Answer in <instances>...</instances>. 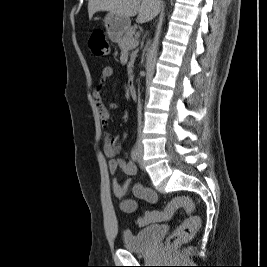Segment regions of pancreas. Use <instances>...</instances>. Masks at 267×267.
Wrapping results in <instances>:
<instances>
[{
	"mask_svg": "<svg viewBox=\"0 0 267 267\" xmlns=\"http://www.w3.org/2000/svg\"><path fill=\"white\" fill-rule=\"evenodd\" d=\"M135 31L136 29L134 27H129L127 29L125 35L119 42V47L121 50H124V49L132 50L138 45V42L133 37L135 35ZM134 56H135V53H132V59H134ZM132 64H133V60L128 65L129 71H131Z\"/></svg>",
	"mask_w": 267,
	"mask_h": 267,
	"instance_id": "1",
	"label": "pancreas"
}]
</instances>
